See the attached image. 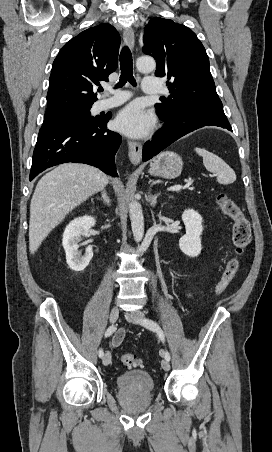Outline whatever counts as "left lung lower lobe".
I'll use <instances>...</instances> for the list:
<instances>
[{
  "label": "left lung lower lobe",
  "mask_w": 272,
  "mask_h": 452,
  "mask_svg": "<svg viewBox=\"0 0 272 452\" xmlns=\"http://www.w3.org/2000/svg\"><path fill=\"white\" fill-rule=\"evenodd\" d=\"M161 120L165 122V125L162 129L157 131L152 138V141L147 142L144 145L142 154L143 161L151 159L174 141L194 131L195 129L204 126H218L232 131L231 125L229 124L226 116H214L190 122L165 118H161Z\"/></svg>",
  "instance_id": "obj_1"
}]
</instances>
